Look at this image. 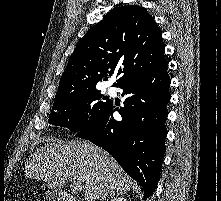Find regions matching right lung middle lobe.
<instances>
[{"instance_id": "1", "label": "right lung middle lobe", "mask_w": 221, "mask_h": 201, "mask_svg": "<svg viewBox=\"0 0 221 201\" xmlns=\"http://www.w3.org/2000/svg\"><path fill=\"white\" fill-rule=\"evenodd\" d=\"M111 103L96 88L58 97L54 99L48 122L78 132L94 123Z\"/></svg>"}]
</instances>
